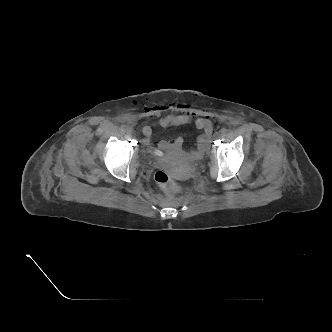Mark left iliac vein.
Here are the masks:
<instances>
[{
	"instance_id": "4c4485c4",
	"label": "left iliac vein",
	"mask_w": 332,
	"mask_h": 332,
	"mask_svg": "<svg viewBox=\"0 0 332 332\" xmlns=\"http://www.w3.org/2000/svg\"><path fill=\"white\" fill-rule=\"evenodd\" d=\"M214 137H215L216 139L220 138V137H221V132H220V131H219V132H216L215 135H214Z\"/></svg>"
}]
</instances>
